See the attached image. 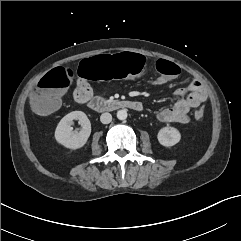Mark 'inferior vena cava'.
<instances>
[{"label":"inferior vena cava","instance_id":"obj_1","mask_svg":"<svg viewBox=\"0 0 241 241\" xmlns=\"http://www.w3.org/2000/svg\"><path fill=\"white\" fill-rule=\"evenodd\" d=\"M100 121L103 123V124H109L111 121H112V115L110 113H103L101 114L100 116Z\"/></svg>","mask_w":241,"mask_h":241}]
</instances>
